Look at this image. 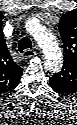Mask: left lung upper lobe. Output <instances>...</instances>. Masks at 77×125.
Listing matches in <instances>:
<instances>
[{"mask_svg": "<svg viewBox=\"0 0 77 125\" xmlns=\"http://www.w3.org/2000/svg\"><path fill=\"white\" fill-rule=\"evenodd\" d=\"M58 27L64 44V65L59 73L50 78V83L56 87L54 90L67 93L64 79L71 74L70 68L77 60V16L75 11L64 14Z\"/></svg>", "mask_w": 77, "mask_h": 125, "instance_id": "5c2ea615", "label": "left lung upper lobe"}]
</instances>
